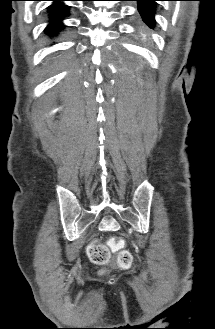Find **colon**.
Masks as SVG:
<instances>
[{
  "instance_id": "5ec220e1",
  "label": "colon",
  "mask_w": 215,
  "mask_h": 329,
  "mask_svg": "<svg viewBox=\"0 0 215 329\" xmlns=\"http://www.w3.org/2000/svg\"><path fill=\"white\" fill-rule=\"evenodd\" d=\"M111 251L118 252L117 261L120 266L126 267L131 264L132 256L125 249L124 241L121 239H110L106 244L95 242L87 247L89 258L97 265L107 264L110 261Z\"/></svg>"
}]
</instances>
